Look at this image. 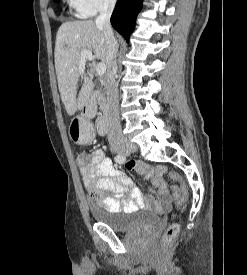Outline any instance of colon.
<instances>
[{"mask_svg": "<svg viewBox=\"0 0 247 275\" xmlns=\"http://www.w3.org/2000/svg\"><path fill=\"white\" fill-rule=\"evenodd\" d=\"M78 161L80 164H84L86 161H88V157L86 154H81L78 157ZM137 165V162L129 161L126 163V167L130 170H133ZM168 178L173 182H181V185H172L171 186V192L174 198L176 199L178 206H183L188 198V189L186 185L182 182L181 176L176 172H169ZM179 232V224L178 223H172L168 226L166 231L163 234L162 237V244L164 247H167L170 245V243L176 238L177 234Z\"/></svg>", "mask_w": 247, "mask_h": 275, "instance_id": "5ec220e1", "label": "colon"}]
</instances>
